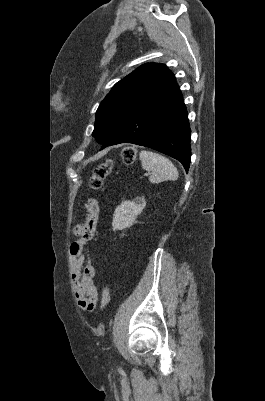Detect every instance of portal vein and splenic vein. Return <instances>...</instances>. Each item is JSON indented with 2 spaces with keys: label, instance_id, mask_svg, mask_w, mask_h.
<instances>
[{
  "label": "portal vein and splenic vein",
  "instance_id": "obj_1",
  "mask_svg": "<svg viewBox=\"0 0 265 401\" xmlns=\"http://www.w3.org/2000/svg\"><path fill=\"white\" fill-rule=\"evenodd\" d=\"M145 175H146V176H149V175H150V172H149V171H146V172H145Z\"/></svg>",
  "mask_w": 265,
  "mask_h": 401
}]
</instances>
